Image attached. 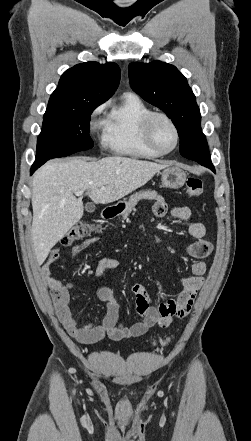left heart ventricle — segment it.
<instances>
[{
	"label": "left heart ventricle",
	"instance_id": "obj_1",
	"mask_svg": "<svg viewBox=\"0 0 251 441\" xmlns=\"http://www.w3.org/2000/svg\"><path fill=\"white\" fill-rule=\"evenodd\" d=\"M155 143L162 150H170L175 144V134L172 127L164 120H156L153 128Z\"/></svg>",
	"mask_w": 251,
	"mask_h": 441
}]
</instances>
